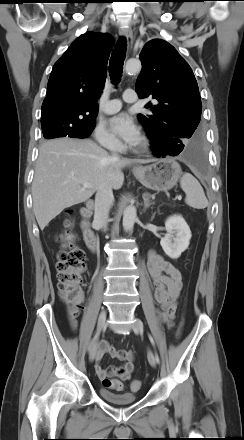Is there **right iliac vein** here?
I'll use <instances>...</instances> for the list:
<instances>
[{"mask_svg": "<svg viewBox=\"0 0 244 440\" xmlns=\"http://www.w3.org/2000/svg\"><path fill=\"white\" fill-rule=\"evenodd\" d=\"M105 323H106V311L102 310L99 315L98 322H97V332L98 333L104 328ZM97 340H98V336L95 339L94 344H93L92 349L89 354L90 361H93L95 359V355L97 352Z\"/></svg>", "mask_w": 244, "mask_h": 440, "instance_id": "right-iliac-vein-1", "label": "right iliac vein"}]
</instances>
